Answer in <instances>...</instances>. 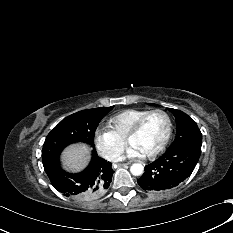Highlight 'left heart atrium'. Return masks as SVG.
Masks as SVG:
<instances>
[{
  "instance_id": "obj_1",
  "label": "left heart atrium",
  "mask_w": 233,
  "mask_h": 233,
  "mask_svg": "<svg viewBox=\"0 0 233 233\" xmlns=\"http://www.w3.org/2000/svg\"><path fill=\"white\" fill-rule=\"evenodd\" d=\"M126 156L128 158L142 157L143 154L134 146L130 145L126 151Z\"/></svg>"
}]
</instances>
